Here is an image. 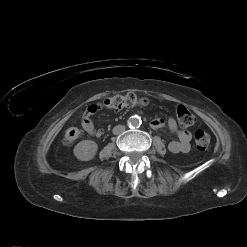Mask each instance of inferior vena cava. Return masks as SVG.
I'll list each match as a JSON object with an SVG mask.
<instances>
[{"label":"inferior vena cava","mask_w":247,"mask_h":247,"mask_svg":"<svg viewBox=\"0 0 247 247\" xmlns=\"http://www.w3.org/2000/svg\"><path fill=\"white\" fill-rule=\"evenodd\" d=\"M125 131V126L123 125H117L113 128V134L119 135Z\"/></svg>","instance_id":"inferior-vena-cava-1"}]
</instances>
